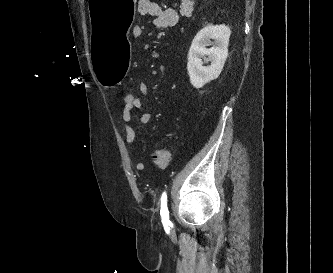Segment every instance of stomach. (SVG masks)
Returning <instances> with one entry per match:
<instances>
[{
    "label": "stomach",
    "mask_w": 333,
    "mask_h": 273,
    "mask_svg": "<svg viewBox=\"0 0 333 273\" xmlns=\"http://www.w3.org/2000/svg\"><path fill=\"white\" fill-rule=\"evenodd\" d=\"M91 31L89 46L93 56V75L104 87L125 81L130 69L127 32L135 19L136 0H87Z\"/></svg>",
    "instance_id": "0dacf381"
}]
</instances>
